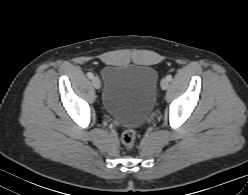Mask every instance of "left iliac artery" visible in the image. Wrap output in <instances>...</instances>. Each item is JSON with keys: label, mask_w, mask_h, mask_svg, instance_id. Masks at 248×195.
<instances>
[{"label": "left iliac artery", "mask_w": 248, "mask_h": 195, "mask_svg": "<svg viewBox=\"0 0 248 195\" xmlns=\"http://www.w3.org/2000/svg\"><path fill=\"white\" fill-rule=\"evenodd\" d=\"M166 78H167L168 81H171L172 80V75H168Z\"/></svg>", "instance_id": "left-iliac-artery-1"}]
</instances>
